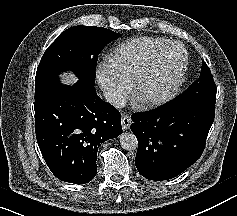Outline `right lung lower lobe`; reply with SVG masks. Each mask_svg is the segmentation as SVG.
I'll use <instances>...</instances> for the list:
<instances>
[{
  "mask_svg": "<svg viewBox=\"0 0 237 216\" xmlns=\"http://www.w3.org/2000/svg\"><path fill=\"white\" fill-rule=\"evenodd\" d=\"M34 110L37 142L51 172L65 182L91 181L98 147L122 133L119 112L84 81L55 88Z\"/></svg>",
  "mask_w": 237,
  "mask_h": 216,
  "instance_id": "obj_1",
  "label": "right lung lower lobe"
}]
</instances>
